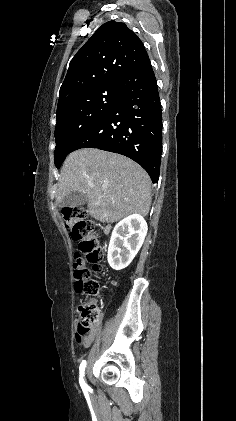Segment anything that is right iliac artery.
Returning a JSON list of instances; mask_svg holds the SVG:
<instances>
[{"instance_id":"1","label":"right iliac artery","mask_w":236,"mask_h":421,"mask_svg":"<svg viewBox=\"0 0 236 421\" xmlns=\"http://www.w3.org/2000/svg\"><path fill=\"white\" fill-rule=\"evenodd\" d=\"M85 367H86V361L83 360L80 364V367H79V371H80L79 383H80V386H81L84 393L89 390V386L85 383L84 378H83L84 372H85Z\"/></svg>"}]
</instances>
